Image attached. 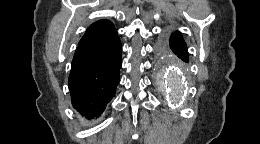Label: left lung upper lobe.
<instances>
[{
	"label": "left lung upper lobe",
	"mask_w": 260,
	"mask_h": 144,
	"mask_svg": "<svg viewBox=\"0 0 260 144\" xmlns=\"http://www.w3.org/2000/svg\"><path fill=\"white\" fill-rule=\"evenodd\" d=\"M160 50L163 52H170L172 51L169 44H167L166 42L161 43L160 45Z\"/></svg>",
	"instance_id": "1"
}]
</instances>
